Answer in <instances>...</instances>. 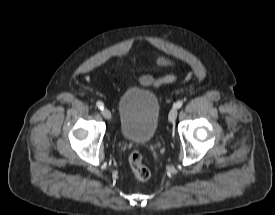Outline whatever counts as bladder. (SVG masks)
<instances>
[{
  "mask_svg": "<svg viewBox=\"0 0 275 215\" xmlns=\"http://www.w3.org/2000/svg\"><path fill=\"white\" fill-rule=\"evenodd\" d=\"M121 136L130 143L147 144L155 136L160 105L157 96L136 87L127 89L118 101Z\"/></svg>",
  "mask_w": 275,
  "mask_h": 215,
  "instance_id": "obj_1",
  "label": "bladder"
}]
</instances>
